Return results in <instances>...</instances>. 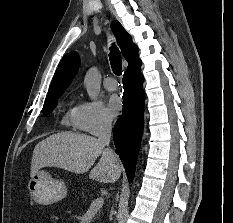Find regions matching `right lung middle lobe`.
Here are the masks:
<instances>
[{
	"mask_svg": "<svg viewBox=\"0 0 233 223\" xmlns=\"http://www.w3.org/2000/svg\"><path fill=\"white\" fill-rule=\"evenodd\" d=\"M57 103H51L48 105L43 106L42 112L44 115L49 114L56 106Z\"/></svg>",
	"mask_w": 233,
	"mask_h": 223,
	"instance_id": "right-lung-middle-lobe-1",
	"label": "right lung middle lobe"
}]
</instances>
